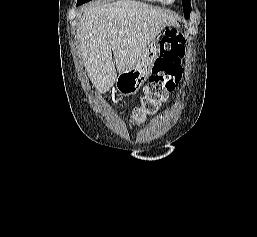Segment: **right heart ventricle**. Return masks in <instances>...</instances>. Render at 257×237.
I'll list each match as a JSON object with an SVG mask.
<instances>
[{
  "label": "right heart ventricle",
  "mask_w": 257,
  "mask_h": 237,
  "mask_svg": "<svg viewBox=\"0 0 257 237\" xmlns=\"http://www.w3.org/2000/svg\"><path fill=\"white\" fill-rule=\"evenodd\" d=\"M149 2H153V3H165L164 0H147Z\"/></svg>",
  "instance_id": "obj_1"
}]
</instances>
